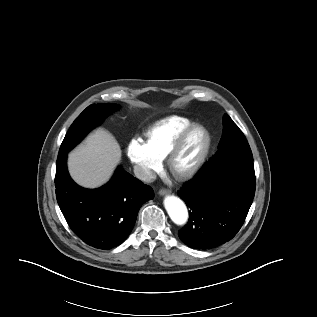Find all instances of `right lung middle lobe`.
<instances>
[{"mask_svg": "<svg viewBox=\"0 0 317 317\" xmlns=\"http://www.w3.org/2000/svg\"><path fill=\"white\" fill-rule=\"evenodd\" d=\"M118 108L116 104H92L88 106L69 128L58 153V156L69 152L83 137L102 120Z\"/></svg>", "mask_w": 317, "mask_h": 317, "instance_id": "dd1d6c3e", "label": "right lung middle lobe"}]
</instances>
